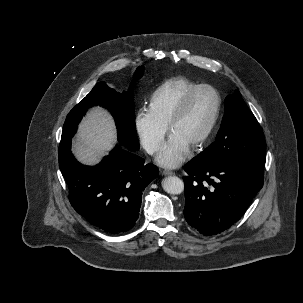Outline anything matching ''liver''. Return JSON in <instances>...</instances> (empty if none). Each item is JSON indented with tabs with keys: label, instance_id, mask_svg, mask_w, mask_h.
I'll return each instance as SVG.
<instances>
[{
	"label": "liver",
	"instance_id": "6515ba94",
	"mask_svg": "<svg viewBox=\"0 0 303 303\" xmlns=\"http://www.w3.org/2000/svg\"><path fill=\"white\" fill-rule=\"evenodd\" d=\"M116 143L112 117L100 107L91 109L79 125L74 154L83 163L93 164Z\"/></svg>",
	"mask_w": 303,
	"mask_h": 303
}]
</instances>
